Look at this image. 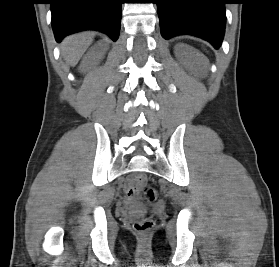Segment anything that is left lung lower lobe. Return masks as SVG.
<instances>
[{
  "label": "left lung lower lobe",
  "mask_w": 279,
  "mask_h": 267,
  "mask_svg": "<svg viewBox=\"0 0 279 267\" xmlns=\"http://www.w3.org/2000/svg\"><path fill=\"white\" fill-rule=\"evenodd\" d=\"M161 34L170 39L194 35L221 46L225 32L226 0H156Z\"/></svg>",
  "instance_id": "obj_1"
}]
</instances>
